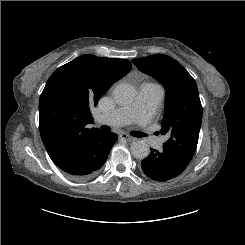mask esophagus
Instances as JSON below:
<instances>
[{
    "label": "esophagus",
    "instance_id": "esophagus-1",
    "mask_svg": "<svg viewBox=\"0 0 245 245\" xmlns=\"http://www.w3.org/2000/svg\"><path fill=\"white\" fill-rule=\"evenodd\" d=\"M119 137L123 140H126V141H134L135 140V138H133L132 136H130L126 133H120Z\"/></svg>",
    "mask_w": 245,
    "mask_h": 245
}]
</instances>
